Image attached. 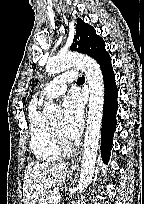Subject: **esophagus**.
Wrapping results in <instances>:
<instances>
[{
    "mask_svg": "<svg viewBox=\"0 0 144 204\" xmlns=\"http://www.w3.org/2000/svg\"><path fill=\"white\" fill-rule=\"evenodd\" d=\"M82 156H83V149L80 148L75 154L74 158L72 159V162H71L72 169H76L79 167V163L81 161Z\"/></svg>",
    "mask_w": 144,
    "mask_h": 204,
    "instance_id": "esophagus-1",
    "label": "esophagus"
}]
</instances>
